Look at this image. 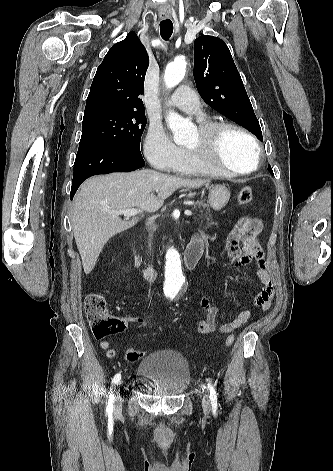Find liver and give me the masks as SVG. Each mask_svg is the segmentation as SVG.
Returning a JSON list of instances; mask_svg holds the SVG:
<instances>
[{"mask_svg":"<svg viewBox=\"0 0 333 471\" xmlns=\"http://www.w3.org/2000/svg\"><path fill=\"white\" fill-rule=\"evenodd\" d=\"M208 181L171 176L150 169L110 173L86 180L73 201L72 226L85 274L93 270L107 241L139 221L122 220L115 211L137 207L155 212L180 187L199 188ZM156 191L157 196L152 192Z\"/></svg>","mask_w":333,"mask_h":471,"instance_id":"6515ba94","label":"liver"}]
</instances>
